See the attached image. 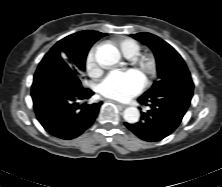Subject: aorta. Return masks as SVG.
I'll list each match as a JSON object with an SVG mask.
<instances>
[{"mask_svg":"<svg viewBox=\"0 0 222 187\" xmlns=\"http://www.w3.org/2000/svg\"><path fill=\"white\" fill-rule=\"evenodd\" d=\"M95 59L101 67L108 68L119 62L120 53L113 45L103 44L96 49ZM123 118L126 122L134 124L139 120L140 112L136 107H128L123 112Z\"/></svg>","mask_w":222,"mask_h":187,"instance_id":"obj_1","label":"aorta"}]
</instances>
